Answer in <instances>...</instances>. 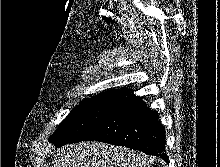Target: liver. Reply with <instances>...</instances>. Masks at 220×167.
<instances>
[{"label": "liver", "mask_w": 220, "mask_h": 167, "mask_svg": "<svg viewBox=\"0 0 220 167\" xmlns=\"http://www.w3.org/2000/svg\"><path fill=\"white\" fill-rule=\"evenodd\" d=\"M146 155L101 142H81L63 146L52 167H148Z\"/></svg>", "instance_id": "1"}]
</instances>
